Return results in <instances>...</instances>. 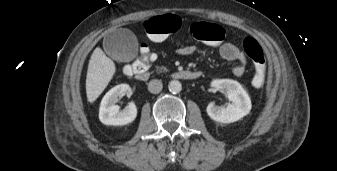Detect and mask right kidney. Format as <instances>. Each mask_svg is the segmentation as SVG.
<instances>
[{"mask_svg": "<svg viewBox=\"0 0 337 171\" xmlns=\"http://www.w3.org/2000/svg\"><path fill=\"white\" fill-rule=\"evenodd\" d=\"M131 95V89L126 84H120L110 89L103 97L99 119L105 125L121 126L133 122L137 116V108L134 103H129L123 110L115 103L119 97Z\"/></svg>", "mask_w": 337, "mask_h": 171, "instance_id": "right-kidney-1", "label": "right kidney"}]
</instances>
